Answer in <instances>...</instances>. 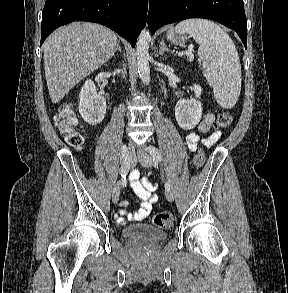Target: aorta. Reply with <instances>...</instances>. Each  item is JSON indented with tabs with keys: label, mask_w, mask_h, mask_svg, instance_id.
Listing matches in <instances>:
<instances>
[{
	"label": "aorta",
	"mask_w": 288,
	"mask_h": 293,
	"mask_svg": "<svg viewBox=\"0 0 288 293\" xmlns=\"http://www.w3.org/2000/svg\"><path fill=\"white\" fill-rule=\"evenodd\" d=\"M149 39L150 33L147 28H144L137 40L136 54H137V68L142 82L146 85L150 83V67H149Z\"/></svg>",
	"instance_id": "obj_1"
}]
</instances>
